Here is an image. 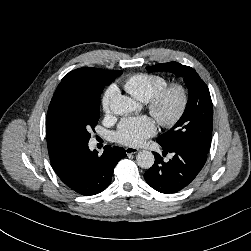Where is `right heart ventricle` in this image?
<instances>
[{"instance_id":"e07e8e85","label":"right heart ventricle","mask_w":251,"mask_h":251,"mask_svg":"<svg viewBox=\"0 0 251 251\" xmlns=\"http://www.w3.org/2000/svg\"><path fill=\"white\" fill-rule=\"evenodd\" d=\"M166 85L167 80L161 75L140 73L128 78L124 83V88L135 99L148 102Z\"/></svg>"}]
</instances>
